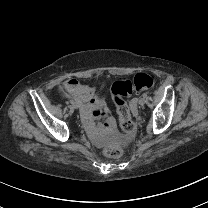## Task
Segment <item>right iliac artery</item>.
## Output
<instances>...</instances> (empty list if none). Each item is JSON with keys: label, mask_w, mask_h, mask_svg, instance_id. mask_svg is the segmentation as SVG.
Instances as JSON below:
<instances>
[{"label": "right iliac artery", "mask_w": 208, "mask_h": 208, "mask_svg": "<svg viewBox=\"0 0 208 208\" xmlns=\"http://www.w3.org/2000/svg\"><path fill=\"white\" fill-rule=\"evenodd\" d=\"M70 103H71V104H74L75 102H74V100H70Z\"/></svg>", "instance_id": "82829eb1"}]
</instances>
